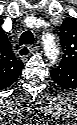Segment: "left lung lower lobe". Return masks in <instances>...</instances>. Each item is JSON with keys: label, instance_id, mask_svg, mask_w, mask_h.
Masks as SVG:
<instances>
[{"label": "left lung lower lobe", "instance_id": "1", "mask_svg": "<svg viewBox=\"0 0 77 125\" xmlns=\"http://www.w3.org/2000/svg\"><path fill=\"white\" fill-rule=\"evenodd\" d=\"M66 72L71 73L72 72V67L59 65L58 67L51 70V77H52V79H57L58 77L62 78L61 74H64Z\"/></svg>", "mask_w": 77, "mask_h": 125}]
</instances>
